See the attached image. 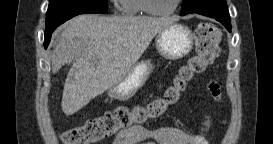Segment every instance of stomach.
<instances>
[{
  "mask_svg": "<svg viewBox=\"0 0 273 144\" xmlns=\"http://www.w3.org/2000/svg\"><path fill=\"white\" fill-rule=\"evenodd\" d=\"M155 45L161 56L180 59L192 50V31L186 25L173 23L157 34ZM153 68L151 60L135 63L118 84L109 88L108 96L120 101L131 98L147 81Z\"/></svg>",
  "mask_w": 273,
  "mask_h": 144,
  "instance_id": "obj_1",
  "label": "stomach"
}]
</instances>
